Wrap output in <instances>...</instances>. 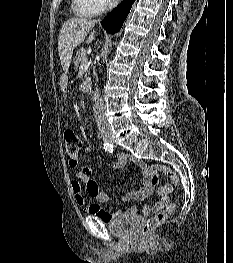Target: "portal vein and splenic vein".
<instances>
[{"label":"portal vein and splenic vein","instance_id":"portal-vein-and-splenic-vein-1","mask_svg":"<svg viewBox=\"0 0 233 263\" xmlns=\"http://www.w3.org/2000/svg\"><path fill=\"white\" fill-rule=\"evenodd\" d=\"M88 67H89V63L87 62V60L80 64L81 69H87Z\"/></svg>","mask_w":233,"mask_h":263}]
</instances>
